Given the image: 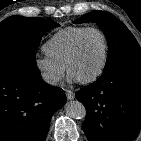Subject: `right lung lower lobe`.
Instances as JSON below:
<instances>
[{
	"label": "right lung lower lobe",
	"instance_id": "right-lung-lower-lobe-1",
	"mask_svg": "<svg viewBox=\"0 0 141 141\" xmlns=\"http://www.w3.org/2000/svg\"><path fill=\"white\" fill-rule=\"evenodd\" d=\"M66 102L37 67H0V141H44L52 115Z\"/></svg>",
	"mask_w": 141,
	"mask_h": 141
}]
</instances>
